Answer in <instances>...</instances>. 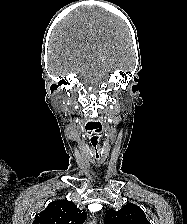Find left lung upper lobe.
I'll return each mask as SVG.
<instances>
[{
  "instance_id": "left-lung-upper-lobe-1",
  "label": "left lung upper lobe",
  "mask_w": 187,
  "mask_h": 224,
  "mask_svg": "<svg viewBox=\"0 0 187 224\" xmlns=\"http://www.w3.org/2000/svg\"><path fill=\"white\" fill-rule=\"evenodd\" d=\"M106 224H150V222L139 206L128 203L119 211L107 210Z\"/></svg>"
}]
</instances>
